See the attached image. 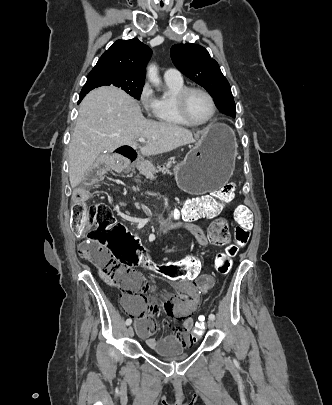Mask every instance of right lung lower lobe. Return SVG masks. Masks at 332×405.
Returning a JSON list of instances; mask_svg holds the SVG:
<instances>
[{"mask_svg":"<svg viewBox=\"0 0 332 405\" xmlns=\"http://www.w3.org/2000/svg\"><path fill=\"white\" fill-rule=\"evenodd\" d=\"M89 91H81L80 97H79V102L84 98V96L88 93ZM78 102V103H79Z\"/></svg>","mask_w":332,"mask_h":405,"instance_id":"1","label":"right lung lower lobe"}]
</instances>
